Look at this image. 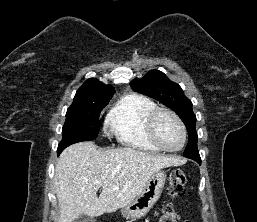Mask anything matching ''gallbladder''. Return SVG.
I'll use <instances>...</instances> for the list:
<instances>
[{
	"label": "gallbladder",
	"instance_id": "gallbladder-1",
	"mask_svg": "<svg viewBox=\"0 0 257 222\" xmlns=\"http://www.w3.org/2000/svg\"><path fill=\"white\" fill-rule=\"evenodd\" d=\"M73 222H96V220L88 215H79Z\"/></svg>",
	"mask_w": 257,
	"mask_h": 222
}]
</instances>
